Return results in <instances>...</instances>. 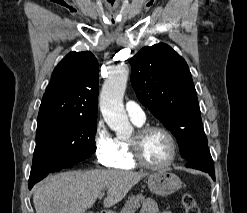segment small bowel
<instances>
[{"instance_id": "obj_1", "label": "small bowel", "mask_w": 247, "mask_h": 213, "mask_svg": "<svg viewBox=\"0 0 247 213\" xmlns=\"http://www.w3.org/2000/svg\"><path fill=\"white\" fill-rule=\"evenodd\" d=\"M140 213H172L171 211L159 212L157 204L151 200H144L142 203V207Z\"/></svg>"}]
</instances>
